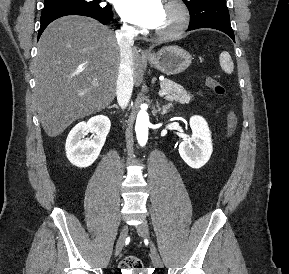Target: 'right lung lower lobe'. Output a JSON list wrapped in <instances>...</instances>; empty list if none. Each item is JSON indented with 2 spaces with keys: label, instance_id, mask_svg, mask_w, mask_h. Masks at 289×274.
Masks as SVG:
<instances>
[{
  "label": "right lung lower lobe",
  "instance_id": "1",
  "mask_svg": "<svg viewBox=\"0 0 289 274\" xmlns=\"http://www.w3.org/2000/svg\"><path fill=\"white\" fill-rule=\"evenodd\" d=\"M67 15H81V16L91 17L100 21L102 24H107L108 22L112 20V17H113L111 12L105 13V14H99V13H94V12L85 11L81 9H63V10H58V11H52V12L41 15V25H40V30L38 33V38L41 36L42 32L48 26L49 23H51L57 18L67 16Z\"/></svg>",
  "mask_w": 289,
  "mask_h": 274
}]
</instances>
